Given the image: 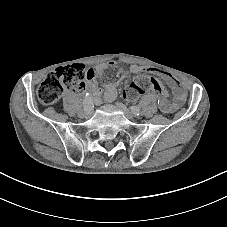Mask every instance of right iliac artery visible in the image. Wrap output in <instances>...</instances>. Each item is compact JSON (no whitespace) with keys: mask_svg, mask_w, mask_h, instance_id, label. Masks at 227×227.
Here are the masks:
<instances>
[{"mask_svg":"<svg viewBox=\"0 0 227 227\" xmlns=\"http://www.w3.org/2000/svg\"><path fill=\"white\" fill-rule=\"evenodd\" d=\"M83 107L87 111L93 107V99L90 93H86L85 99L83 101Z\"/></svg>","mask_w":227,"mask_h":227,"instance_id":"right-iliac-artery-1","label":"right iliac artery"}]
</instances>
